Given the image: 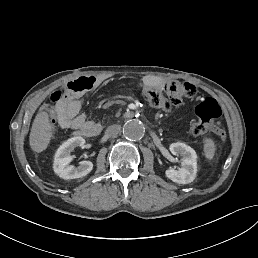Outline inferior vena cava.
<instances>
[{"mask_svg": "<svg viewBox=\"0 0 258 258\" xmlns=\"http://www.w3.org/2000/svg\"><path fill=\"white\" fill-rule=\"evenodd\" d=\"M120 130H121V126L117 125V124H114V125H111L107 128L106 134L108 136H115L120 132Z\"/></svg>", "mask_w": 258, "mask_h": 258, "instance_id": "602c4592", "label": "inferior vena cava"}]
</instances>
